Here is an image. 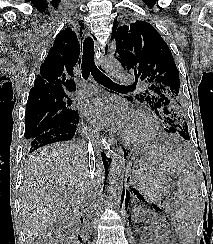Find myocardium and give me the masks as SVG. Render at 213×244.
Returning a JSON list of instances; mask_svg holds the SVG:
<instances>
[{
  "label": "myocardium",
  "mask_w": 213,
  "mask_h": 244,
  "mask_svg": "<svg viewBox=\"0 0 213 244\" xmlns=\"http://www.w3.org/2000/svg\"><path fill=\"white\" fill-rule=\"evenodd\" d=\"M134 118L143 120L147 125V130L140 136H131L123 132L122 139L129 144H144L153 140L158 132V124L155 117L145 110H138L134 113Z\"/></svg>",
  "instance_id": "1"
}]
</instances>
